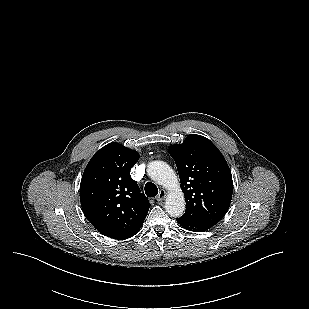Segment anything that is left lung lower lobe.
Here are the masks:
<instances>
[{"instance_id": "1", "label": "left lung lower lobe", "mask_w": 309, "mask_h": 309, "mask_svg": "<svg viewBox=\"0 0 309 309\" xmlns=\"http://www.w3.org/2000/svg\"><path fill=\"white\" fill-rule=\"evenodd\" d=\"M177 222L185 229L189 230V231H193V232H202L205 231L209 228H211L212 226L197 221L195 219H191L189 217L186 216H182L180 218H177Z\"/></svg>"}]
</instances>
